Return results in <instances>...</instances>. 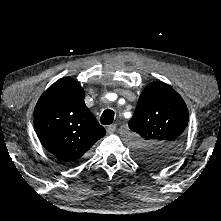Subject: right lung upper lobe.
Listing matches in <instances>:
<instances>
[{
    "mask_svg": "<svg viewBox=\"0 0 221 221\" xmlns=\"http://www.w3.org/2000/svg\"><path fill=\"white\" fill-rule=\"evenodd\" d=\"M84 97L77 81L61 78L41 95L34 110V127L42 145L65 162L80 159L106 134Z\"/></svg>",
    "mask_w": 221,
    "mask_h": 221,
    "instance_id": "cb5924a9",
    "label": "right lung upper lobe"
}]
</instances>
